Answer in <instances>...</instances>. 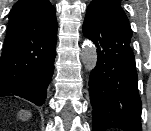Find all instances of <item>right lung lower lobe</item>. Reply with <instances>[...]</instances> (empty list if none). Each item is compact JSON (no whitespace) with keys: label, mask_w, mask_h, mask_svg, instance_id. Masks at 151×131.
Returning a JSON list of instances; mask_svg holds the SVG:
<instances>
[{"label":"right lung lower lobe","mask_w":151,"mask_h":131,"mask_svg":"<svg viewBox=\"0 0 151 131\" xmlns=\"http://www.w3.org/2000/svg\"><path fill=\"white\" fill-rule=\"evenodd\" d=\"M55 56L56 51L53 48L49 53V59L40 69L9 86H1L0 97L16 95L31 101L37 106L43 105L48 84L53 75Z\"/></svg>","instance_id":"98d812e1"}]
</instances>
